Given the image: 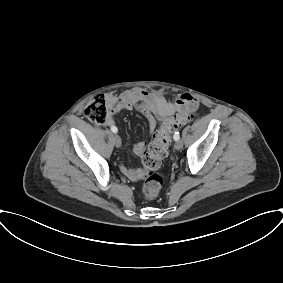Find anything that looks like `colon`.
Instances as JSON below:
<instances>
[{
	"label": "colon",
	"instance_id": "colon-1",
	"mask_svg": "<svg viewBox=\"0 0 283 283\" xmlns=\"http://www.w3.org/2000/svg\"><path fill=\"white\" fill-rule=\"evenodd\" d=\"M196 103L182 104L180 110L163 122L154 134L153 141L142 153L141 161L146 170L142 192L145 198H155L161 189L162 178L154 173L168 154L172 134L195 116ZM84 114L86 118L96 125H104L108 119L107 102L102 97H96L88 102Z\"/></svg>",
	"mask_w": 283,
	"mask_h": 283
}]
</instances>
